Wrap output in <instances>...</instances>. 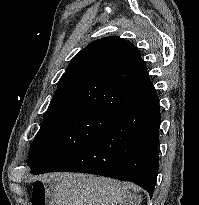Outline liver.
<instances>
[{"mask_svg": "<svg viewBox=\"0 0 199 205\" xmlns=\"http://www.w3.org/2000/svg\"><path fill=\"white\" fill-rule=\"evenodd\" d=\"M44 180L53 181L56 205H128L138 203L129 185L119 181L85 174L56 173Z\"/></svg>", "mask_w": 199, "mask_h": 205, "instance_id": "liver-1", "label": "liver"}]
</instances>
